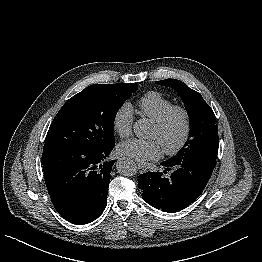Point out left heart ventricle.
Listing matches in <instances>:
<instances>
[{
  "label": "left heart ventricle",
  "mask_w": 262,
  "mask_h": 262,
  "mask_svg": "<svg viewBox=\"0 0 262 262\" xmlns=\"http://www.w3.org/2000/svg\"><path fill=\"white\" fill-rule=\"evenodd\" d=\"M183 130V118L180 114H176L165 131H160L156 126H154L151 137L156 138L161 143L163 149L171 148L179 142Z\"/></svg>",
  "instance_id": "left-heart-ventricle-1"
}]
</instances>
